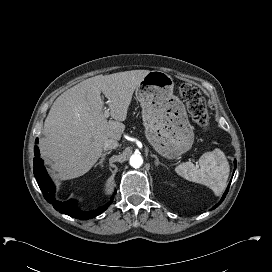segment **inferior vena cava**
Wrapping results in <instances>:
<instances>
[{
    "instance_id": "1",
    "label": "inferior vena cava",
    "mask_w": 272,
    "mask_h": 272,
    "mask_svg": "<svg viewBox=\"0 0 272 272\" xmlns=\"http://www.w3.org/2000/svg\"><path fill=\"white\" fill-rule=\"evenodd\" d=\"M119 146V143L116 140L113 139H107L104 142L103 148L104 150H111V149H115Z\"/></svg>"
}]
</instances>
